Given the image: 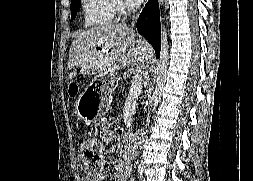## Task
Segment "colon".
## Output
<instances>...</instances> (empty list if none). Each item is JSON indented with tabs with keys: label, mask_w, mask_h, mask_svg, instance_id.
<instances>
[{
	"label": "colon",
	"mask_w": 253,
	"mask_h": 181,
	"mask_svg": "<svg viewBox=\"0 0 253 181\" xmlns=\"http://www.w3.org/2000/svg\"><path fill=\"white\" fill-rule=\"evenodd\" d=\"M78 92L76 85L70 87V95L75 97ZM81 167L88 173L97 172L105 163L106 153L103 144L96 138L85 139L79 148Z\"/></svg>",
	"instance_id": "colon-1"
}]
</instances>
